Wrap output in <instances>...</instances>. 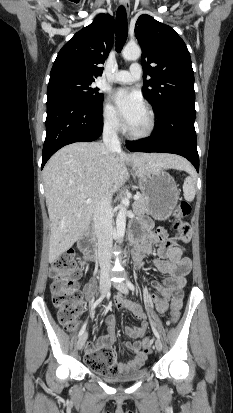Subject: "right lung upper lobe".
<instances>
[{
    "label": "right lung upper lobe",
    "instance_id": "right-lung-upper-lobe-1",
    "mask_svg": "<svg viewBox=\"0 0 233 413\" xmlns=\"http://www.w3.org/2000/svg\"><path fill=\"white\" fill-rule=\"evenodd\" d=\"M114 19L101 13L94 21L77 32L59 51L50 73L53 81L64 77L94 80L101 76L113 44Z\"/></svg>",
    "mask_w": 233,
    "mask_h": 413
}]
</instances>
